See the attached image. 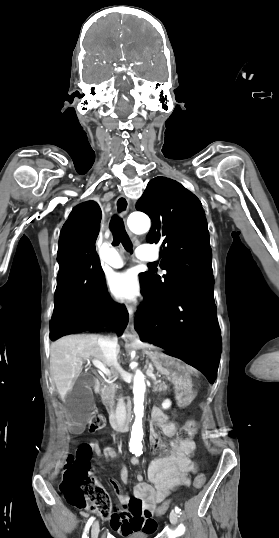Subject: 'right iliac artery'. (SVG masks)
Returning <instances> with one entry per match:
<instances>
[{
    "label": "right iliac artery",
    "mask_w": 279,
    "mask_h": 538,
    "mask_svg": "<svg viewBox=\"0 0 279 538\" xmlns=\"http://www.w3.org/2000/svg\"><path fill=\"white\" fill-rule=\"evenodd\" d=\"M133 453H134V452H133ZM93 521H94V517L92 516V517H90L89 520L87 521V524H86V526H85V528H84V532H83V536H82V538H88L89 528H90V526H91V524H92Z\"/></svg>",
    "instance_id": "right-iliac-artery-1"
}]
</instances>
